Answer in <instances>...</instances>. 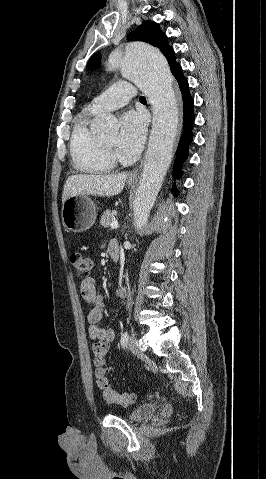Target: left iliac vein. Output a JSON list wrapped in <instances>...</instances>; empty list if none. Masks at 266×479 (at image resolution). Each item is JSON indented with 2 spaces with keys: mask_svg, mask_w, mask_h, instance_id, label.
Masks as SVG:
<instances>
[{
  "mask_svg": "<svg viewBox=\"0 0 266 479\" xmlns=\"http://www.w3.org/2000/svg\"><path fill=\"white\" fill-rule=\"evenodd\" d=\"M128 347L134 355H137V356L143 355V351L140 348V345L138 343V340H137L136 336L132 335L130 337L129 342H128Z\"/></svg>",
  "mask_w": 266,
  "mask_h": 479,
  "instance_id": "left-iliac-vein-1",
  "label": "left iliac vein"
}]
</instances>
